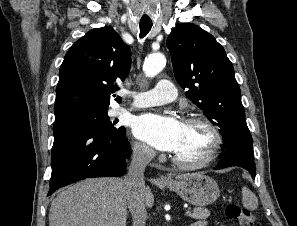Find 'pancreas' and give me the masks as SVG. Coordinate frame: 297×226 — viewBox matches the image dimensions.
Returning a JSON list of instances; mask_svg holds the SVG:
<instances>
[{
    "instance_id": "pancreas-1",
    "label": "pancreas",
    "mask_w": 297,
    "mask_h": 226,
    "mask_svg": "<svg viewBox=\"0 0 297 226\" xmlns=\"http://www.w3.org/2000/svg\"><path fill=\"white\" fill-rule=\"evenodd\" d=\"M210 215V211L206 208L196 207L193 209L192 213H190V217L192 219H206Z\"/></svg>"
}]
</instances>
